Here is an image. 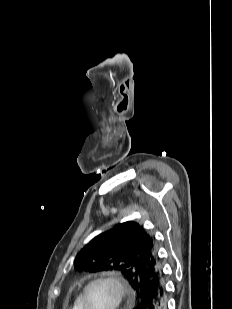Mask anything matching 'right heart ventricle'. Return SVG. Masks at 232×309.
<instances>
[{
    "mask_svg": "<svg viewBox=\"0 0 232 309\" xmlns=\"http://www.w3.org/2000/svg\"><path fill=\"white\" fill-rule=\"evenodd\" d=\"M72 309H82V307H81V294H79L75 298L73 305H72Z\"/></svg>",
    "mask_w": 232,
    "mask_h": 309,
    "instance_id": "e07e8e85",
    "label": "right heart ventricle"
}]
</instances>
